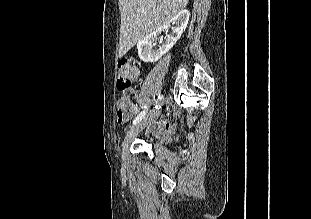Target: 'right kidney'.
Returning a JSON list of instances; mask_svg holds the SVG:
<instances>
[{"label": "right kidney", "instance_id": "ca27d5eb", "mask_svg": "<svg viewBox=\"0 0 311 219\" xmlns=\"http://www.w3.org/2000/svg\"><path fill=\"white\" fill-rule=\"evenodd\" d=\"M189 11L182 10L172 19H170L166 25L156 29L152 33L148 34L145 38L137 44L139 58L143 62H156L162 55L166 54L178 41L182 33L185 31L189 21ZM170 24L172 27V33L166 35L164 42L160 45L158 50H154L153 47L158 39L162 30H165Z\"/></svg>", "mask_w": 311, "mask_h": 219}]
</instances>
